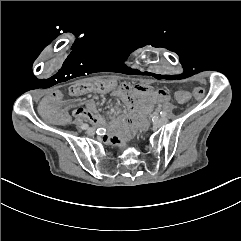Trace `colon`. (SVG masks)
<instances>
[{"label":"colon","instance_id":"colon-1","mask_svg":"<svg viewBox=\"0 0 241 241\" xmlns=\"http://www.w3.org/2000/svg\"><path fill=\"white\" fill-rule=\"evenodd\" d=\"M113 91V86L108 80L104 79H82L80 84H72L68 89V94L70 96H75L77 93H111ZM205 94L204 89L196 87L193 89V95L196 98H202ZM172 98L175 101H180L182 103H187L190 100V95L184 92L182 89H177L173 91Z\"/></svg>","mask_w":241,"mask_h":241}]
</instances>
